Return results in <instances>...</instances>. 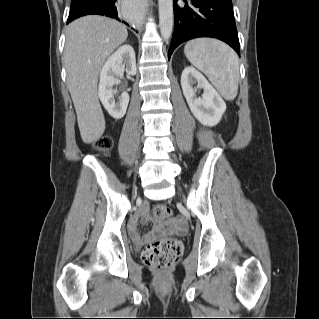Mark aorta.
Here are the masks:
<instances>
[{
    "mask_svg": "<svg viewBox=\"0 0 319 319\" xmlns=\"http://www.w3.org/2000/svg\"><path fill=\"white\" fill-rule=\"evenodd\" d=\"M159 27L164 40L168 41L173 29V0H158Z\"/></svg>",
    "mask_w": 319,
    "mask_h": 319,
    "instance_id": "obj_1",
    "label": "aorta"
}]
</instances>
